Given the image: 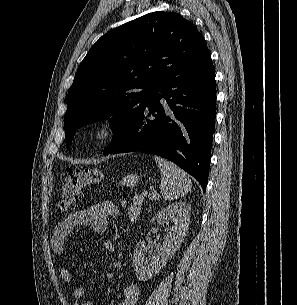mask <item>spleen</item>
Returning <instances> with one entry per match:
<instances>
[{
    "label": "spleen",
    "mask_w": 297,
    "mask_h": 305,
    "mask_svg": "<svg viewBox=\"0 0 297 305\" xmlns=\"http://www.w3.org/2000/svg\"><path fill=\"white\" fill-rule=\"evenodd\" d=\"M161 172L160 190L165 200L178 199L189 192L192 183L189 176L172 162L155 156Z\"/></svg>",
    "instance_id": "spleen-1"
}]
</instances>
